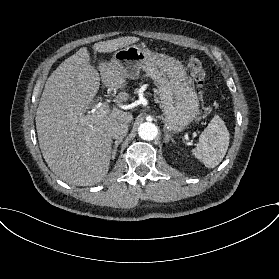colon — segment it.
Instances as JSON below:
<instances>
[{"instance_id":"1","label":"colon","mask_w":279,"mask_h":279,"mask_svg":"<svg viewBox=\"0 0 279 279\" xmlns=\"http://www.w3.org/2000/svg\"><path fill=\"white\" fill-rule=\"evenodd\" d=\"M191 78L198 88H203L206 82V70L199 58L192 55L187 60Z\"/></svg>"}]
</instances>
